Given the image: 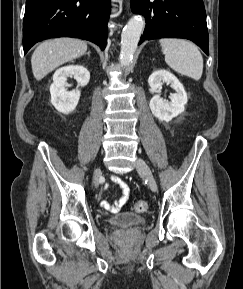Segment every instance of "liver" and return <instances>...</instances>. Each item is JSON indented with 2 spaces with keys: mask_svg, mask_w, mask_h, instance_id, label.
I'll use <instances>...</instances> for the list:
<instances>
[{
  "mask_svg": "<svg viewBox=\"0 0 243 289\" xmlns=\"http://www.w3.org/2000/svg\"><path fill=\"white\" fill-rule=\"evenodd\" d=\"M86 51L87 43L79 39L63 37L44 41L31 57L33 75L36 80H41L60 65L81 57Z\"/></svg>",
  "mask_w": 243,
  "mask_h": 289,
  "instance_id": "liver-1",
  "label": "liver"
}]
</instances>
